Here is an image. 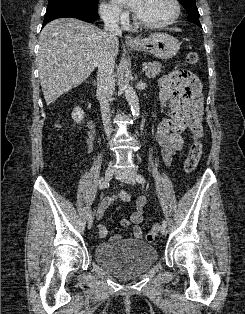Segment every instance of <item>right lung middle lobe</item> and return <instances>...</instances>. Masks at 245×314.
Wrapping results in <instances>:
<instances>
[{"label":"right lung middle lobe","instance_id":"right-lung-middle-lobe-1","mask_svg":"<svg viewBox=\"0 0 245 314\" xmlns=\"http://www.w3.org/2000/svg\"><path fill=\"white\" fill-rule=\"evenodd\" d=\"M64 6L97 11L98 0H49L47 9Z\"/></svg>","mask_w":245,"mask_h":314}]
</instances>
